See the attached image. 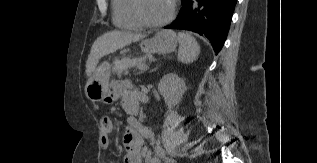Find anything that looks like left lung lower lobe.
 <instances>
[{"mask_svg": "<svg viewBox=\"0 0 317 163\" xmlns=\"http://www.w3.org/2000/svg\"><path fill=\"white\" fill-rule=\"evenodd\" d=\"M237 0H182V9L165 28L194 31L207 38L216 53L220 52Z\"/></svg>", "mask_w": 317, "mask_h": 163, "instance_id": "left-lung-lower-lobe-1", "label": "left lung lower lobe"}]
</instances>
